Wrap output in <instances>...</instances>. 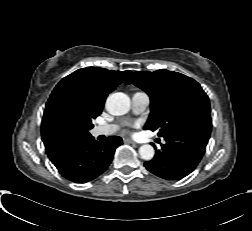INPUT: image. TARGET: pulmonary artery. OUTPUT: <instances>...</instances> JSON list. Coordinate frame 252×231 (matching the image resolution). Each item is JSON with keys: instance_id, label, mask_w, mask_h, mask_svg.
I'll return each instance as SVG.
<instances>
[{"instance_id": "obj_1", "label": "pulmonary artery", "mask_w": 252, "mask_h": 231, "mask_svg": "<svg viewBox=\"0 0 252 231\" xmlns=\"http://www.w3.org/2000/svg\"><path fill=\"white\" fill-rule=\"evenodd\" d=\"M149 96L147 93L138 91L132 95V110L135 114L142 113L149 105ZM118 130L116 124L98 125L94 128L95 136H109Z\"/></svg>"}]
</instances>
